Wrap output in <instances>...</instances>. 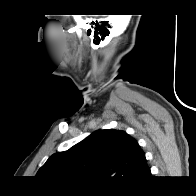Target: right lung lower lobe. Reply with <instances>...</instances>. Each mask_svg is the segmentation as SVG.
<instances>
[{"label":"right lung lower lobe","instance_id":"98d812e1","mask_svg":"<svg viewBox=\"0 0 196 196\" xmlns=\"http://www.w3.org/2000/svg\"><path fill=\"white\" fill-rule=\"evenodd\" d=\"M150 176V175H149ZM149 176H147V178H149ZM143 182V181H142ZM141 182V183H142ZM141 183H139V184H141ZM139 184H134V185H130V186H137V185H139Z\"/></svg>","mask_w":196,"mask_h":196}]
</instances>
